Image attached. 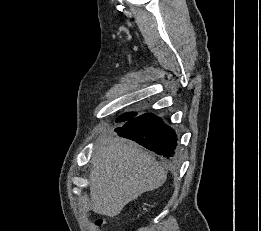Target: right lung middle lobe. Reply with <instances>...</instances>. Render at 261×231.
<instances>
[{"mask_svg": "<svg viewBox=\"0 0 261 231\" xmlns=\"http://www.w3.org/2000/svg\"><path fill=\"white\" fill-rule=\"evenodd\" d=\"M137 116L136 112L125 113L118 118L119 122L130 121Z\"/></svg>", "mask_w": 261, "mask_h": 231, "instance_id": "right-lung-middle-lobe-1", "label": "right lung middle lobe"}]
</instances>
